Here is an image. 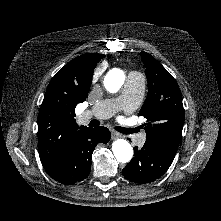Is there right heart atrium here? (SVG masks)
Listing matches in <instances>:
<instances>
[{
	"label": "right heart atrium",
	"mask_w": 221,
	"mask_h": 221,
	"mask_svg": "<svg viewBox=\"0 0 221 221\" xmlns=\"http://www.w3.org/2000/svg\"><path fill=\"white\" fill-rule=\"evenodd\" d=\"M100 76H101V70L96 69L94 74H93V81H96Z\"/></svg>",
	"instance_id": "1"
}]
</instances>
